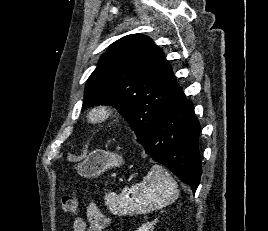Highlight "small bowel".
Instances as JSON below:
<instances>
[{
	"instance_id": "obj_1",
	"label": "small bowel",
	"mask_w": 268,
	"mask_h": 231,
	"mask_svg": "<svg viewBox=\"0 0 268 231\" xmlns=\"http://www.w3.org/2000/svg\"><path fill=\"white\" fill-rule=\"evenodd\" d=\"M87 221L78 219L74 223L75 231H103L109 225V217L100 209L95 200L87 206Z\"/></svg>"
}]
</instances>
